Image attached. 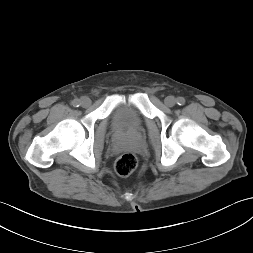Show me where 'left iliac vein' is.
Instances as JSON below:
<instances>
[{
  "mask_svg": "<svg viewBox=\"0 0 253 253\" xmlns=\"http://www.w3.org/2000/svg\"><path fill=\"white\" fill-rule=\"evenodd\" d=\"M166 106L173 107L176 104V99L173 96H167L164 100Z\"/></svg>",
  "mask_w": 253,
  "mask_h": 253,
  "instance_id": "left-iliac-vein-1",
  "label": "left iliac vein"
}]
</instances>
